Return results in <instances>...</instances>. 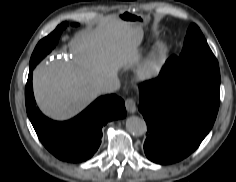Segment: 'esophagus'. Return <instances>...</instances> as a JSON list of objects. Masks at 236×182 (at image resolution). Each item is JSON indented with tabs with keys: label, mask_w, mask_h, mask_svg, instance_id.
<instances>
[{
	"label": "esophagus",
	"mask_w": 236,
	"mask_h": 182,
	"mask_svg": "<svg viewBox=\"0 0 236 182\" xmlns=\"http://www.w3.org/2000/svg\"><path fill=\"white\" fill-rule=\"evenodd\" d=\"M125 107L126 110L131 114H134L137 110L136 102L133 98H128L125 100Z\"/></svg>",
	"instance_id": "34e87169"
}]
</instances>
